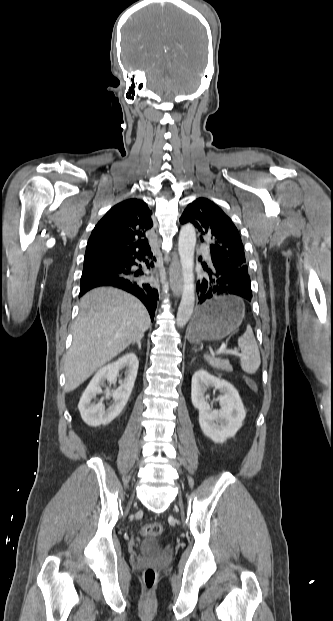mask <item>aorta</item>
<instances>
[{
	"label": "aorta",
	"mask_w": 333,
	"mask_h": 621,
	"mask_svg": "<svg viewBox=\"0 0 333 621\" xmlns=\"http://www.w3.org/2000/svg\"><path fill=\"white\" fill-rule=\"evenodd\" d=\"M196 233L191 224L181 227L179 234L178 251L183 274V292L177 312V325L183 327L189 321L195 304L194 286V253Z\"/></svg>",
	"instance_id": "aorta-1"
}]
</instances>
